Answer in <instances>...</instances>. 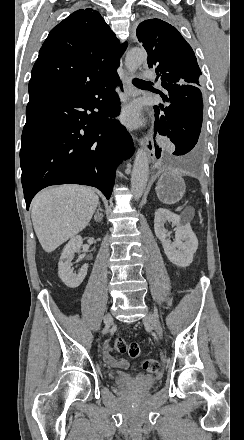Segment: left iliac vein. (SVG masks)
<instances>
[{"mask_svg":"<svg viewBox=\"0 0 244 440\" xmlns=\"http://www.w3.org/2000/svg\"><path fill=\"white\" fill-rule=\"evenodd\" d=\"M144 323L152 325L154 327L155 331L157 332L158 337L162 338V336H163L162 328L159 324V320L156 315H154L152 313H148L146 315V317L144 318Z\"/></svg>","mask_w":244,"mask_h":440,"instance_id":"4c4485c4","label":"left iliac vein"}]
</instances>
